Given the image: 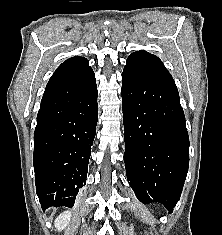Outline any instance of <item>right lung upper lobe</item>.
<instances>
[{"label":"right lung upper lobe","mask_w":222,"mask_h":235,"mask_svg":"<svg viewBox=\"0 0 222 235\" xmlns=\"http://www.w3.org/2000/svg\"><path fill=\"white\" fill-rule=\"evenodd\" d=\"M88 63V60L84 57H71L56 69L50 79H64L89 71L91 67Z\"/></svg>","instance_id":"1"}]
</instances>
